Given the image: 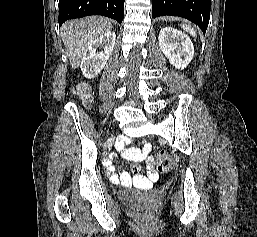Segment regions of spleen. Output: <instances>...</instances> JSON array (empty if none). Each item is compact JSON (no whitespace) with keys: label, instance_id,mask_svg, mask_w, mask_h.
<instances>
[{"label":"spleen","instance_id":"obj_1","mask_svg":"<svg viewBox=\"0 0 257 237\" xmlns=\"http://www.w3.org/2000/svg\"><path fill=\"white\" fill-rule=\"evenodd\" d=\"M182 27H183V29H184L185 31L189 32L191 35L196 36V33H195L194 29L191 28L190 26H188V25H183Z\"/></svg>","mask_w":257,"mask_h":237}]
</instances>
